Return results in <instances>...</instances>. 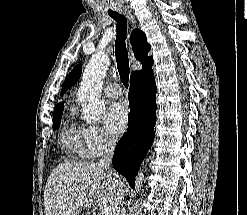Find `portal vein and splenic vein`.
<instances>
[{
    "label": "portal vein and splenic vein",
    "mask_w": 247,
    "mask_h": 215,
    "mask_svg": "<svg viewBox=\"0 0 247 215\" xmlns=\"http://www.w3.org/2000/svg\"><path fill=\"white\" fill-rule=\"evenodd\" d=\"M101 215H112V210L109 206L107 205H101L99 206Z\"/></svg>",
    "instance_id": "18ae733b"
}]
</instances>
